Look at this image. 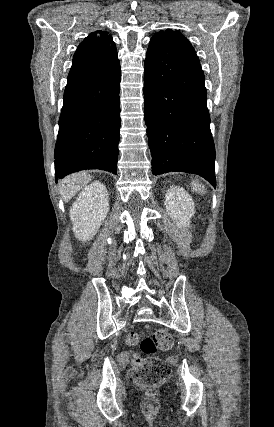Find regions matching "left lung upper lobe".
<instances>
[{"label":"left lung upper lobe","instance_id":"left-lung-upper-lobe-1","mask_svg":"<svg viewBox=\"0 0 274 427\" xmlns=\"http://www.w3.org/2000/svg\"><path fill=\"white\" fill-rule=\"evenodd\" d=\"M152 38L172 39V40H175L177 42H180L181 44H183L188 49L194 51L190 42L178 31H172V30L160 31V32L156 33Z\"/></svg>","mask_w":274,"mask_h":427}]
</instances>
